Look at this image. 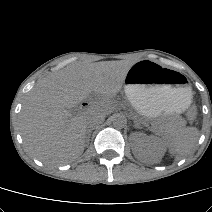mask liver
<instances>
[{"label": "liver", "instance_id": "liver-1", "mask_svg": "<svg viewBox=\"0 0 212 212\" xmlns=\"http://www.w3.org/2000/svg\"><path fill=\"white\" fill-rule=\"evenodd\" d=\"M132 63L108 61L69 65L40 81L29 93L20 114L26 150L47 165L78 158L86 142V117L106 115V100L122 89ZM95 93L102 101L73 116L69 111Z\"/></svg>", "mask_w": 212, "mask_h": 212}]
</instances>
